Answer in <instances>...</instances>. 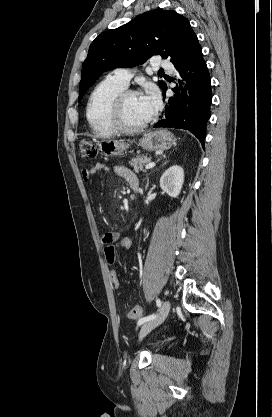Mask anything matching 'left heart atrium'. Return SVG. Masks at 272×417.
Returning <instances> with one entry per match:
<instances>
[{
	"mask_svg": "<svg viewBox=\"0 0 272 417\" xmlns=\"http://www.w3.org/2000/svg\"><path fill=\"white\" fill-rule=\"evenodd\" d=\"M140 101L151 116L157 112L161 104L159 92L154 86L147 88L146 93L140 96Z\"/></svg>",
	"mask_w": 272,
	"mask_h": 417,
	"instance_id": "1",
	"label": "left heart atrium"
}]
</instances>
